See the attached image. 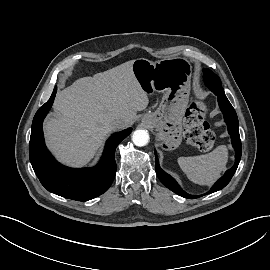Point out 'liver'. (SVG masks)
<instances>
[{"label":"liver","instance_id":"liver-1","mask_svg":"<svg viewBox=\"0 0 270 270\" xmlns=\"http://www.w3.org/2000/svg\"><path fill=\"white\" fill-rule=\"evenodd\" d=\"M130 60L93 77L77 79L58 92L55 116L44 123L49 148L63 163L82 166L95 155L120 118L124 126L133 124L136 112L149 103L147 93L136 80Z\"/></svg>","mask_w":270,"mask_h":270}]
</instances>
